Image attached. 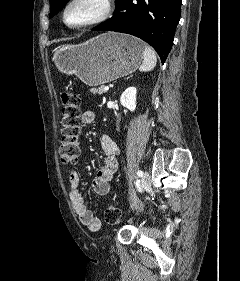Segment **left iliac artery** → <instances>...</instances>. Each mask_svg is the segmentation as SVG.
<instances>
[{
	"mask_svg": "<svg viewBox=\"0 0 240 281\" xmlns=\"http://www.w3.org/2000/svg\"><path fill=\"white\" fill-rule=\"evenodd\" d=\"M137 175H138L139 177H142V176H143V172H142L141 170H138Z\"/></svg>",
	"mask_w": 240,
	"mask_h": 281,
	"instance_id": "obj_1",
	"label": "left iliac artery"
}]
</instances>
